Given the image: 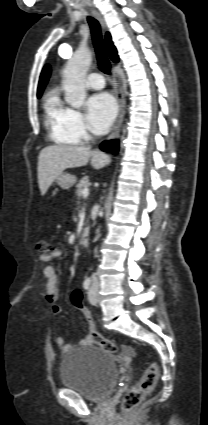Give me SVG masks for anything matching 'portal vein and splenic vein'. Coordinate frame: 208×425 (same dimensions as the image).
<instances>
[{"label":"portal vein and splenic vein","mask_w":208,"mask_h":425,"mask_svg":"<svg viewBox=\"0 0 208 425\" xmlns=\"http://www.w3.org/2000/svg\"><path fill=\"white\" fill-rule=\"evenodd\" d=\"M82 194H83V197L86 198L89 195V190L88 189H84Z\"/></svg>","instance_id":"1"}]
</instances>
